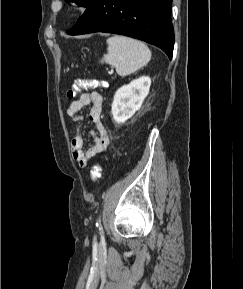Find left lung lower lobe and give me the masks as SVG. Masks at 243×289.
Here are the masks:
<instances>
[{"label":"left lung lower lobe","mask_w":243,"mask_h":289,"mask_svg":"<svg viewBox=\"0 0 243 289\" xmlns=\"http://www.w3.org/2000/svg\"><path fill=\"white\" fill-rule=\"evenodd\" d=\"M172 0H92L70 35L106 32L130 36L161 48L172 58Z\"/></svg>","instance_id":"1"}]
</instances>
